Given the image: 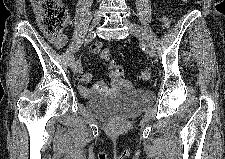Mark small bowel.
Masks as SVG:
<instances>
[{
	"label": "small bowel",
	"mask_w": 225,
	"mask_h": 159,
	"mask_svg": "<svg viewBox=\"0 0 225 159\" xmlns=\"http://www.w3.org/2000/svg\"><path fill=\"white\" fill-rule=\"evenodd\" d=\"M36 7H37V5H35V11L38 14ZM48 39L57 48L62 47L66 40L65 36H63V37L48 36ZM62 39H64V41H62ZM101 48H102V43L96 42L94 45H92L90 51H91V53L95 54V53L99 52V50ZM77 80L79 83L78 90H79L80 94L84 97H91L103 85L102 81H97L93 86H87L85 83H87L91 80V75L89 73H84V72L80 73ZM113 80H117V79L113 78Z\"/></svg>",
	"instance_id": "small-bowel-1"
}]
</instances>
